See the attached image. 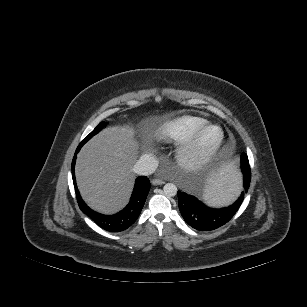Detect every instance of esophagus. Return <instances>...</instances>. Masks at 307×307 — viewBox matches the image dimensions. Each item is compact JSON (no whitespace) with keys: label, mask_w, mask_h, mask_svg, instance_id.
Wrapping results in <instances>:
<instances>
[{"label":"esophagus","mask_w":307,"mask_h":307,"mask_svg":"<svg viewBox=\"0 0 307 307\" xmlns=\"http://www.w3.org/2000/svg\"><path fill=\"white\" fill-rule=\"evenodd\" d=\"M151 182H152L153 185H162V184H164V181L161 180V179H158V178H154Z\"/></svg>","instance_id":"obj_1"}]
</instances>
